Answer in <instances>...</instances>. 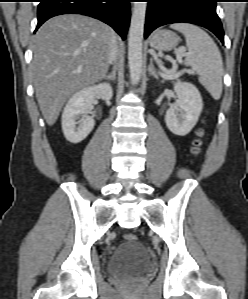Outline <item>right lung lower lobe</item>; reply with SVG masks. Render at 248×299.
I'll list each match as a JSON object with an SVG mask.
<instances>
[{"label":"right lung lower lobe","mask_w":248,"mask_h":299,"mask_svg":"<svg viewBox=\"0 0 248 299\" xmlns=\"http://www.w3.org/2000/svg\"><path fill=\"white\" fill-rule=\"evenodd\" d=\"M130 0H40L36 30L49 18L61 14H83L110 25L125 39L130 21Z\"/></svg>","instance_id":"obj_1"}]
</instances>
